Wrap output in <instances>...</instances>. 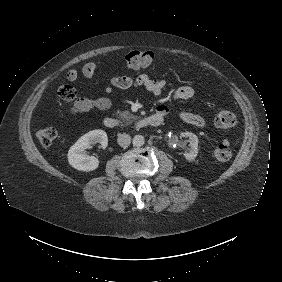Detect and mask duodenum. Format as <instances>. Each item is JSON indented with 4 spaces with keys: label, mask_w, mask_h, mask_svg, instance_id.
Here are the masks:
<instances>
[{
    "label": "duodenum",
    "mask_w": 282,
    "mask_h": 282,
    "mask_svg": "<svg viewBox=\"0 0 282 282\" xmlns=\"http://www.w3.org/2000/svg\"><path fill=\"white\" fill-rule=\"evenodd\" d=\"M163 121V117L160 115H150L140 118L135 124L132 125V128H143L149 126L160 125ZM102 123L105 127L110 129H118L121 127L120 121L115 117H105L102 120Z\"/></svg>",
    "instance_id": "duodenum-1"
}]
</instances>
